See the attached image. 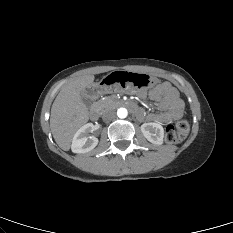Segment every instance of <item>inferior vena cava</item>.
<instances>
[{
	"label": "inferior vena cava",
	"mask_w": 233,
	"mask_h": 233,
	"mask_svg": "<svg viewBox=\"0 0 233 233\" xmlns=\"http://www.w3.org/2000/svg\"><path fill=\"white\" fill-rule=\"evenodd\" d=\"M115 117H116V113L112 110H107L102 115V119L105 122H110V121L114 120Z\"/></svg>",
	"instance_id": "1"
}]
</instances>
